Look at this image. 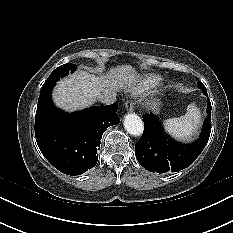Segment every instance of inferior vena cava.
I'll return each mask as SVG.
<instances>
[{
  "mask_svg": "<svg viewBox=\"0 0 233 233\" xmlns=\"http://www.w3.org/2000/svg\"><path fill=\"white\" fill-rule=\"evenodd\" d=\"M98 100L105 104V105H110L115 102L116 100V95L115 93H105V94H100L98 96Z\"/></svg>",
  "mask_w": 233,
  "mask_h": 233,
  "instance_id": "obj_1",
  "label": "inferior vena cava"
}]
</instances>
